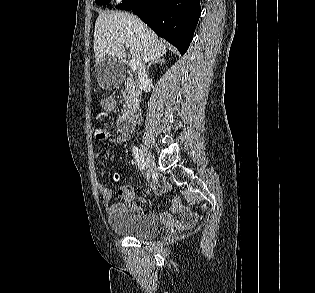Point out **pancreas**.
Segmentation results:
<instances>
[{"instance_id":"cf45deb5","label":"pancreas","mask_w":315,"mask_h":293,"mask_svg":"<svg viewBox=\"0 0 315 293\" xmlns=\"http://www.w3.org/2000/svg\"><path fill=\"white\" fill-rule=\"evenodd\" d=\"M139 94L140 92L138 84H136L132 79L128 80L125 84L124 91H122L125 101L122 113H128L133 107L137 105L139 101Z\"/></svg>"}]
</instances>
